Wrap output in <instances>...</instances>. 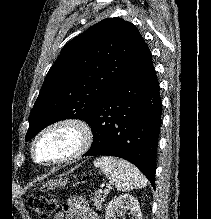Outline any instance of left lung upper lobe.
Returning <instances> with one entry per match:
<instances>
[{
  "label": "left lung upper lobe",
  "instance_id": "5c2ea615",
  "mask_svg": "<svg viewBox=\"0 0 211 219\" xmlns=\"http://www.w3.org/2000/svg\"><path fill=\"white\" fill-rule=\"evenodd\" d=\"M146 45L133 24L108 18L72 39L50 68L25 140L64 119L89 122L105 93Z\"/></svg>",
  "mask_w": 211,
  "mask_h": 219
}]
</instances>
